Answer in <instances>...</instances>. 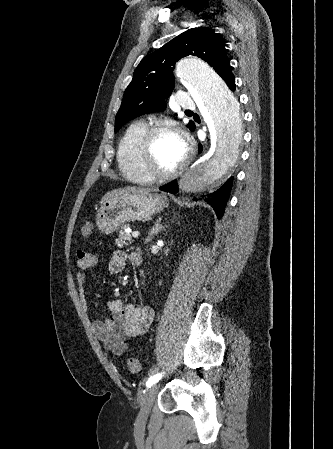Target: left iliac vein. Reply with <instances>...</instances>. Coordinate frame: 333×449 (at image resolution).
Instances as JSON below:
<instances>
[{"label":"left iliac vein","mask_w":333,"mask_h":449,"mask_svg":"<svg viewBox=\"0 0 333 449\" xmlns=\"http://www.w3.org/2000/svg\"><path fill=\"white\" fill-rule=\"evenodd\" d=\"M159 386L157 384L149 387L142 399L139 419L146 420L151 412L153 403L157 394Z\"/></svg>","instance_id":"obj_1"}]
</instances>
